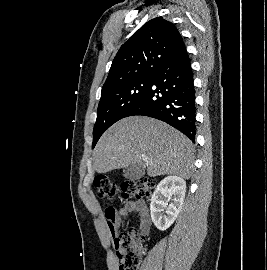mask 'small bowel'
Returning a JSON list of instances; mask_svg holds the SVG:
<instances>
[{"label": "small bowel", "instance_id": "obj_1", "mask_svg": "<svg viewBox=\"0 0 267 270\" xmlns=\"http://www.w3.org/2000/svg\"><path fill=\"white\" fill-rule=\"evenodd\" d=\"M131 214H136L138 216L141 233L145 236L148 235L151 219L147 205L142 201H129L119 209H114L112 213L107 210L105 211L107 228L113 237L118 233L122 219L127 218Z\"/></svg>", "mask_w": 267, "mask_h": 270}]
</instances>
